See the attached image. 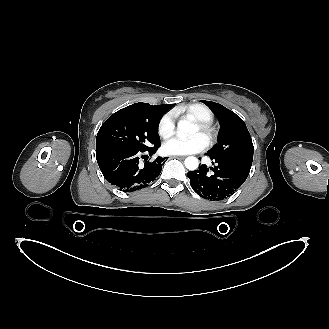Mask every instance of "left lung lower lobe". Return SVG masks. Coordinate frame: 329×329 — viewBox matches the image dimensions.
<instances>
[{
    "mask_svg": "<svg viewBox=\"0 0 329 329\" xmlns=\"http://www.w3.org/2000/svg\"><path fill=\"white\" fill-rule=\"evenodd\" d=\"M214 172L209 175L206 165H201L199 169L188 172L190 185L193 190L202 198L219 201L230 197L247 179L250 172V165L234 160L223 158H212Z\"/></svg>",
    "mask_w": 329,
    "mask_h": 329,
    "instance_id": "obj_1",
    "label": "left lung lower lobe"
}]
</instances>
